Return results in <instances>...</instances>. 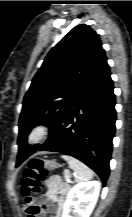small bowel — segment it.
<instances>
[{
  "label": "small bowel",
  "instance_id": "small-bowel-1",
  "mask_svg": "<svg viewBox=\"0 0 132 217\" xmlns=\"http://www.w3.org/2000/svg\"><path fill=\"white\" fill-rule=\"evenodd\" d=\"M47 193L40 198L27 200L26 217L29 208L37 206L41 212L37 217H45L46 212H54L52 217H60L65 205V197L69 192V185L59 175H53L46 181Z\"/></svg>",
  "mask_w": 132,
  "mask_h": 217
}]
</instances>
